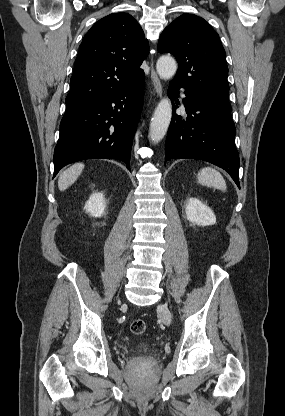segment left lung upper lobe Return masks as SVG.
Here are the masks:
<instances>
[{
	"mask_svg": "<svg viewBox=\"0 0 285 416\" xmlns=\"http://www.w3.org/2000/svg\"><path fill=\"white\" fill-rule=\"evenodd\" d=\"M158 51L178 61L174 83L196 97L229 104L225 50L203 18L185 13L175 19L162 32Z\"/></svg>",
	"mask_w": 285,
	"mask_h": 416,
	"instance_id": "5c2ea615",
	"label": "left lung upper lobe"
}]
</instances>
